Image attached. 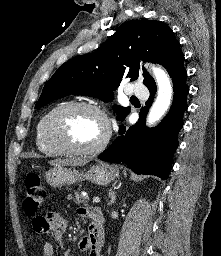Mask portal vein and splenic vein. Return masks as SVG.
I'll list each match as a JSON object with an SVG mask.
<instances>
[{"label": "portal vein and splenic vein", "instance_id": "portal-vein-and-splenic-vein-1", "mask_svg": "<svg viewBox=\"0 0 221 256\" xmlns=\"http://www.w3.org/2000/svg\"><path fill=\"white\" fill-rule=\"evenodd\" d=\"M93 202L94 203H99L100 202V198L99 197H93Z\"/></svg>", "mask_w": 221, "mask_h": 256}]
</instances>
